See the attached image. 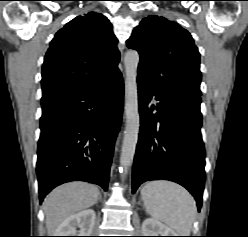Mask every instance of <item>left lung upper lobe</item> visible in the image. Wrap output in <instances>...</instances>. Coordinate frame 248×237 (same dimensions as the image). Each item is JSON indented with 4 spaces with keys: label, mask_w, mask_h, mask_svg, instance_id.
<instances>
[{
    "label": "left lung upper lobe",
    "mask_w": 248,
    "mask_h": 237,
    "mask_svg": "<svg viewBox=\"0 0 248 237\" xmlns=\"http://www.w3.org/2000/svg\"><path fill=\"white\" fill-rule=\"evenodd\" d=\"M127 46L140 54L138 79L164 95L200 98V54L187 30L164 17L148 16Z\"/></svg>",
    "instance_id": "left-lung-upper-lobe-1"
}]
</instances>
